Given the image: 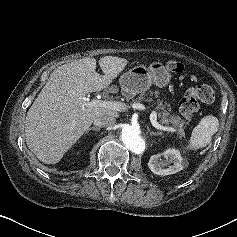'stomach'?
I'll return each instance as SVG.
<instances>
[{
	"label": "stomach",
	"instance_id": "stomach-1",
	"mask_svg": "<svg viewBox=\"0 0 237 237\" xmlns=\"http://www.w3.org/2000/svg\"><path fill=\"white\" fill-rule=\"evenodd\" d=\"M170 80L171 74L164 65L161 62H152L148 68L143 65L133 67L121 75L119 83L122 94L131 99L148 90L152 83L158 87H164Z\"/></svg>",
	"mask_w": 237,
	"mask_h": 237
}]
</instances>
